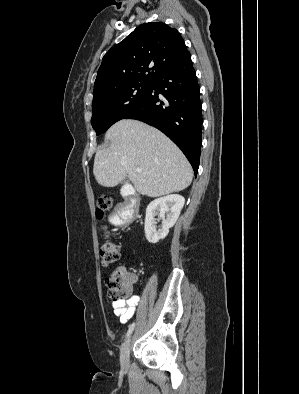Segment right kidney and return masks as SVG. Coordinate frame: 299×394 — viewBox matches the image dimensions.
Here are the masks:
<instances>
[{"label":"right kidney","instance_id":"1","mask_svg":"<svg viewBox=\"0 0 299 394\" xmlns=\"http://www.w3.org/2000/svg\"><path fill=\"white\" fill-rule=\"evenodd\" d=\"M185 199L178 194L167 195L153 200L146 209L145 236L149 243L155 244L164 239L174 226L184 206ZM167 217L165 219V214ZM163 219L162 228L156 230L155 216Z\"/></svg>","mask_w":299,"mask_h":394}]
</instances>
